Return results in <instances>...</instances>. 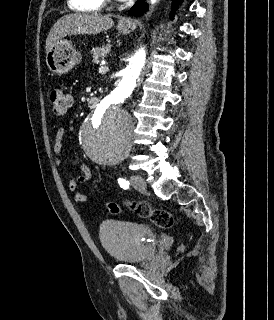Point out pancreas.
Listing matches in <instances>:
<instances>
[{
    "mask_svg": "<svg viewBox=\"0 0 274 320\" xmlns=\"http://www.w3.org/2000/svg\"><path fill=\"white\" fill-rule=\"evenodd\" d=\"M91 52L93 54V62H99V60H103V58H106L107 54L111 52V46H102V48H92Z\"/></svg>",
    "mask_w": 274,
    "mask_h": 320,
    "instance_id": "pancreas-1",
    "label": "pancreas"
}]
</instances>
